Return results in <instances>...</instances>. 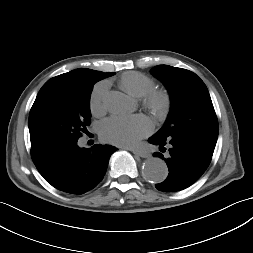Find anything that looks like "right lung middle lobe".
Masks as SVG:
<instances>
[{
  "label": "right lung middle lobe",
  "instance_id": "dd1d6c3e",
  "mask_svg": "<svg viewBox=\"0 0 253 253\" xmlns=\"http://www.w3.org/2000/svg\"><path fill=\"white\" fill-rule=\"evenodd\" d=\"M101 79L61 78L44 84L29 114L32 158H48L76 143L81 133L87 131L91 119L90 94Z\"/></svg>",
  "mask_w": 253,
  "mask_h": 253
}]
</instances>
